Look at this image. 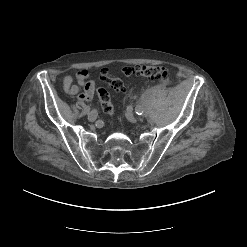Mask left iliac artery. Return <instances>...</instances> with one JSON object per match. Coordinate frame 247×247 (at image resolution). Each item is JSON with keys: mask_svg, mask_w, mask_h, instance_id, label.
<instances>
[{"mask_svg": "<svg viewBox=\"0 0 247 247\" xmlns=\"http://www.w3.org/2000/svg\"><path fill=\"white\" fill-rule=\"evenodd\" d=\"M135 112H136V114H138V115H142V114H143V108H142L140 105H137V106L135 107Z\"/></svg>", "mask_w": 247, "mask_h": 247, "instance_id": "obj_1", "label": "left iliac artery"}]
</instances>
